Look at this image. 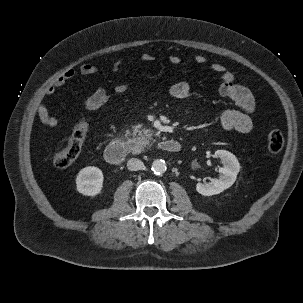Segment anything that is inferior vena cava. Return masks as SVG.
<instances>
[{"label": "inferior vena cava", "mask_w": 303, "mask_h": 303, "mask_svg": "<svg viewBox=\"0 0 303 303\" xmlns=\"http://www.w3.org/2000/svg\"><path fill=\"white\" fill-rule=\"evenodd\" d=\"M127 167L130 171H137L141 170L144 167V164L141 160L136 159V158H131L127 162Z\"/></svg>", "instance_id": "602c4592"}]
</instances>
